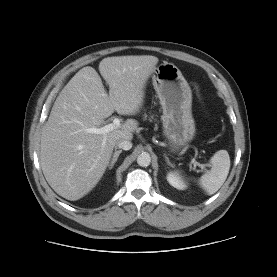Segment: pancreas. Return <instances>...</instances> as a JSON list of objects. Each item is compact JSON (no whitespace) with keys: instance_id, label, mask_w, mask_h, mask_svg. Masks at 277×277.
I'll use <instances>...</instances> for the list:
<instances>
[{"instance_id":"cf45deb5","label":"pancreas","mask_w":277,"mask_h":277,"mask_svg":"<svg viewBox=\"0 0 277 277\" xmlns=\"http://www.w3.org/2000/svg\"><path fill=\"white\" fill-rule=\"evenodd\" d=\"M143 116H144L143 119L146 120L148 115L146 113H144ZM151 118H153V116H151Z\"/></svg>"}]
</instances>
